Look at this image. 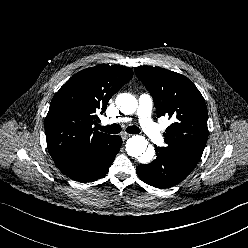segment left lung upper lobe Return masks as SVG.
<instances>
[{
  "instance_id": "1",
  "label": "left lung upper lobe",
  "mask_w": 248,
  "mask_h": 248,
  "mask_svg": "<svg viewBox=\"0 0 248 248\" xmlns=\"http://www.w3.org/2000/svg\"><path fill=\"white\" fill-rule=\"evenodd\" d=\"M135 73L154 99L157 116L174 120L163 134L160 152L192 171L200 160L208 135L207 107L199 90L185 76L154 67H136Z\"/></svg>"
}]
</instances>
